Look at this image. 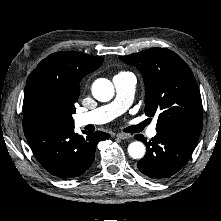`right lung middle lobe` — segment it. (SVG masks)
<instances>
[{
  "label": "right lung middle lobe",
  "instance_id": "right-lung-middle-lobe-1",
  "mask_svg": "<svg viewBox=\"0 0 221 221\" xmlns=\"http://www.w3.org/2000/svg\"><path fill=\"white\" fill-rule=\"evenodd\" d=\"M73 110L64 106L54 94L44 89H34L24 95L23 123H49L73 126Z\"/></svg>",
  "mask_w": 221,
  "mask_h": 221
}]
</instances>
